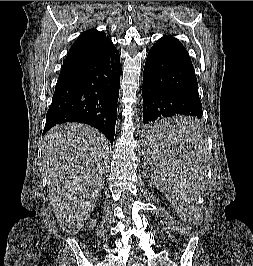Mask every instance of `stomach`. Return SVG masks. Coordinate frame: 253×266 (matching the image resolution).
Instances as JSON below:
<instances>
[{
  "label": "stomach",
  "mask_w": 253,
  "mask_h": 266,
  "mask_svg": "<svg viewBox=\"0 0 253 266\" xmlns=\"http://www.w3.org/2000/svg\"><path fill=\"white\" fill-rule=\"evenodd\" d=\"M202 139V136L200 135V140Z\"/></svg>",
  "instance_id": "obj_1"
}]
</instances>
